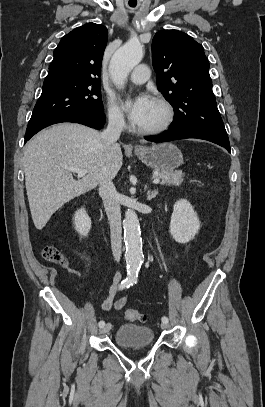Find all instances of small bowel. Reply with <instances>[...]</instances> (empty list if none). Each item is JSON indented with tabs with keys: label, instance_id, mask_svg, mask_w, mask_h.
Listing matches in <instances>:
<instances>
[{
	"label": "small bowel",
	"instance_id": "small-bowel-1",
	"mask_svg": "<svg viewBox=\"0 0 265 407\" xmlns=\"http://www.w3.org/2000/svg\"><path fill=\"white\" fill-rule=\"evenodd\" d=\"M122 279V274L119 273L116 275L114 279V283L110 288L109 294L107 298L102 302L101 304V309L103 311H109L110 309H115V310H121L127 303L128 301V296H123L118 300H115V295L118 289L119 282Z\"/></svg>",
	"mask_w": 265,
	"mask_h": 407
}]
</instances>
